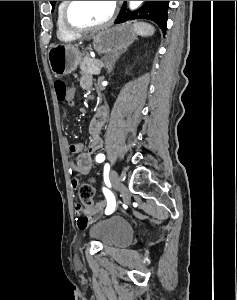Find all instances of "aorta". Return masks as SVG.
<instances>
[{
  "instance_id": "1",
  "label": "aorta",
  "mask_w": 237,
  "mask_h": 300,
  "mask_svg": "<svg viewBox=\"0 0 237 300\" xmlns=\"http://www.w3.org/2000/svg\"><path fill=\"white\" fill-rule=\"evenodd\" d=\"M143 1H129V7L134 11V9H138L140 5H142Z\"/></svg>"
}]
</instances>
